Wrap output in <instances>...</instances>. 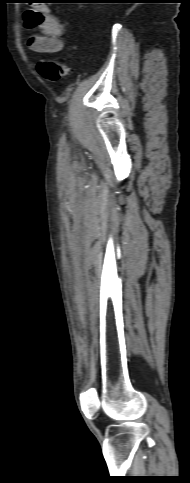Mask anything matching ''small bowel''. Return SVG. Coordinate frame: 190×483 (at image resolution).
<instances>
[{"mask_svg":"<svg viewBox=\"0 0 190 483\" xmlns=\"http://www.w3.org/2000/svg\"><path fill=\"white\" fill-rule=\"evenodd\" d=\"M24 24L28 29L41 31V34L32 35L28 39V46L33 52L54 54L63 49L64 27L49 13L48 7L27 10L24 14Z\"/></svg>","mask_w":190,"mask_h":483,"instance_id":"c3829d8e","label":"small bowel"}]
</instances>
